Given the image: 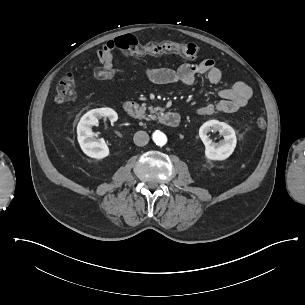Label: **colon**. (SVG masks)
Instances as JSON below:
<instances>
[{"label": "colon", "mask_w": 305, "mask_h": 305, "mask_svg": "<svg viewBox=\"0 0 305 305\" xmlns=\"http://www.w3.org/2000/svg\"><path fill=\"white\" fill-rule=\"evenodd\" d=\"M118 45V54H123L126 51L131 54H142L143 52L153 54L179 53L187 58H195L198 54V47L193 43H173L163 42L159 45H150L148 47L140 46L138 39L131 33H125L115 39ZM115 69L109 70L105 66H98L93 77L95 79H107L115 75ZM76 96V81L72 74L65 75L60 79L56 88V100L58 102H68ZM256 124L263 129L266 126V119L259 116L256 119Z\"/></svg>", "instance_id": "1"}]
</instances>
